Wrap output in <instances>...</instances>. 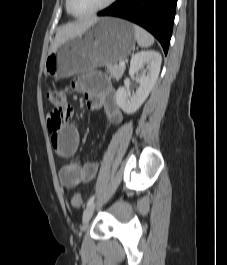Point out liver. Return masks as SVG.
Returning <instances> with one entry per match:
<instances>
[{"label": "liver", "mask_w": 227, "mask_h": 265, "mask_svg": "<svg viewBox=\"0 0 227 265\" xmlns=\"http://www.w3.org/2000/svg\"><path fill=\"white\" fill-rule=\"evenodd\" d=\"M96 20L77 21L61 26L55 36L54 44L51 50L58 47L68 39L81 35L85 32Z\"/></svg>", "instance_id": "obj_1"}]
</instances>
